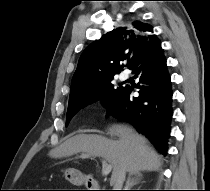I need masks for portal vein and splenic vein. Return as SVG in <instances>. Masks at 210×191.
<instances>
[{
    "mask_svg": "<svg viewBox=\"0 0 210 191\" xmlns=\"http://www.w3.org/2000/svg\"><path fill=\"white\" fill-rule=\"evenodd\" d=\"M81 157L88 158L90 155L82 154ZM112 170V165L107 163L105 160L102 161V175H108Z\"/></svg>",
    "mask_w": 210,
    "mask_h": 191,
    "instance_id": "1",
    "label": "portal vein and splenic vein"
}]
</instances>
